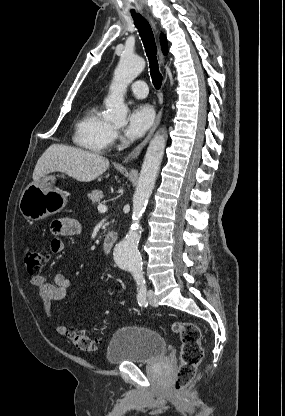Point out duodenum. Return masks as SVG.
<instances>
[{"mask_svg":"<svg viewBox=\"0 0 285 416\" xmlns=\"http://www.w3.org/2000/svg\"><path fill=\"white\" fill-rule=\"evenodd\" d=\"M117 235L114 232L108 233L102 240V248L105 253H109L112 250L114 243L116 242Z\"/></svg>","mask_w":285,"mask_h":416,"instance_id":"obj_1","label":"duodenum"}]
</instances>
